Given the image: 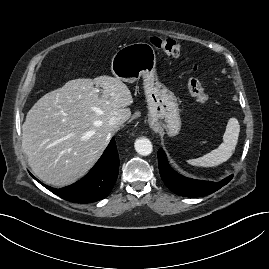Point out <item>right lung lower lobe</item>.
Returning a JSON list of instances; mask_svg holds the SVG:
<instances>
[{
  "label": "right lung lower lobe",
  "instance_id": "1",
  "mask_svg": "<svg viewBox=\"0 0 269 269\" xmlns=\"http://www.w3.org/2000/svg\"><path fill=\"white\" fill-rule=\"evenodd\" d=\"M119 171V156L114 138L110 141L103 155L95 166L78 182L55 189L42 184L44 187L65 199L74 203H91L107 197L112 190Z\"/></svg>",
  "mask_w": 269,
  "mask_h": 269
}]
</instances>
